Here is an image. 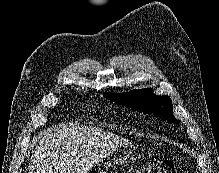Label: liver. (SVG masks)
Segmentation results:
<instances>
[{
	"mask_svg": "<svg viewBox=\"0 0 219 173\" xmlns=\"http://www.w3.org/2000/svg\"><path fill=\"white\" fill-rule=\"evenodd\" d=\"M129 141L97 128L59 125L43 133L33 150L28 173H87Z\"/></svg>",
	"mask_w": 219,
	"mask_h": 173,
	"instance_id": "liver-1",
	"label": "liver"
}]
</instances>
